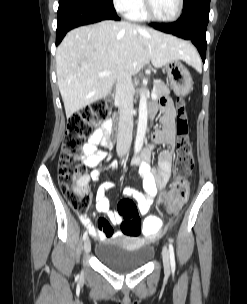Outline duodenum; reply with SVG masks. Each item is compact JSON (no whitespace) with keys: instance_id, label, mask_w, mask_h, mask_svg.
<instances>
[{"instance_id":"duodenum-1","label":"duodenum","mask_w":247,"mask_h":304,"mask_svg":"<svg viewBox=\"0 0 247 304\" xmlns=\"http://www.w3.org/2000/svg\"><path fill=\"white\" fill-rule=\"evenodd\" d=\"M154 115V111L150 110V117H152ZM112 120H113V132H112V135H111V138H116L118 136V126H119V123H118V115H112ZM115 140V139H114Z\"/></svg>"}]
</instances>
